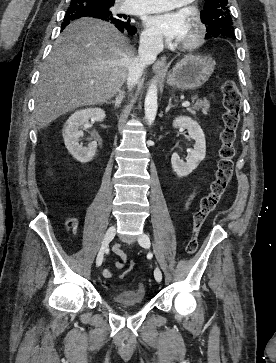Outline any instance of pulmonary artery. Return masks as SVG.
<instances>
[{
    "label": "pulmonary artery",
    "instance_id": "e3ab8cb5",
    "mask_svg": "<svg viewBox=\"0 0 276 363\" xmlns=\"http://www.w3.org/2000/svg\"><path fill=\"white\" fill-rule=\"evenodd\" d=\"M192 0H126L124 7L131 14H147L178 8Z\"/></svg>",
    "mask_w": 276,
    "mask_h": 363
}]
</instances>
